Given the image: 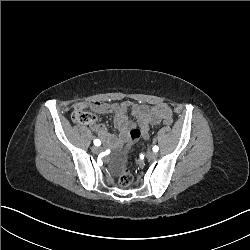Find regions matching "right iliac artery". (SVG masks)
Returning <instances> with one entry per match:
<instances>
[{
  "label": "right iliac artery",
  "mask_w": 250,
  "mask_h": 250,
  "mask_svg": "<svg viewBox=\"0 0 250 250\" xmlns=\"http://www.w3.org/2000/svg\"><path fill=\"white\" fill-rule=\"evenodd\" d=\"M94 145L95 146H100L101 145V141L99 139H95L94 140Z\"/></svg>",
  "instance_id": "obj_1"
}]
</instances>
